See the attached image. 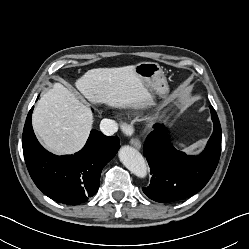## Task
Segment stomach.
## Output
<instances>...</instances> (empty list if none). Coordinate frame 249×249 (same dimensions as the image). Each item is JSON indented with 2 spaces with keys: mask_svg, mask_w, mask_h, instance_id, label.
I'll return each instance as SVG.
<instances>
[{
  "mask_svg": "<svg viewBox=\"0 0 249 249\" xmlns=\"http://www.w3.org/2000/svg\"><path fill=\"white\" fill-rule=\"evenodd\" d=\"M133 68L142 82L151 91L160 96H165L168 93V83L159 64L155 62H140L135 64Z\"/></svg>",
  "mask_w": 249,
  "mask_h": 249,
  "instance_id": "1",
  "label": "stomach"
}]
</instances>
